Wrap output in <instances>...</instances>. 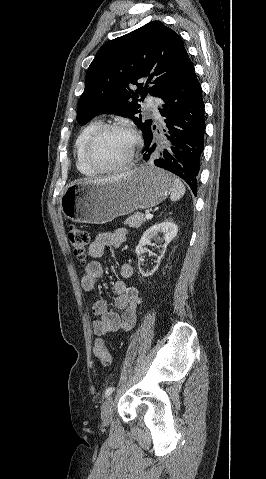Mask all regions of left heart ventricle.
<instances>
[{"label": "left heart ventricle", "instance_id": "left-heart-ventricle-1", "mask_svg": "<svg viewBox=\"0 0 266 479\" xmlns=\"http://www.w3.org/2000/svg\"><path fill=\"white\" fill-rule=\"evenodd\" d=\"M132 144L133 138L129 133L120 130L107 131L94 145L93 160L103 168L119 165L127 158Z\"/></svg>", "mask_w": 266, "mask_h": 479}]
</instances>
